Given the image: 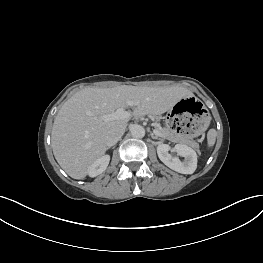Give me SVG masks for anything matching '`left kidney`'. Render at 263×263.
<instances>
[{"label": "left kidney", "instance_id": "left-kidney-1", "mask_svg": "<svg viewBox=\"0 0 263 263\" xmlns=\"http://www.w3.org/2000/svg\"><path fill=\"white\" fill-rule=\"evenodd\" d=\"M171 147L168 144H159L157 146V154L159 159L170 169L182 173L192 174L197 168V154L189 146L184 144H176L174 151L177 155L184 157L181 161L178 157L172 156L169 151Z\"/></svg>", "mask_w": 263, "mask_h": 263}]
</instances>
